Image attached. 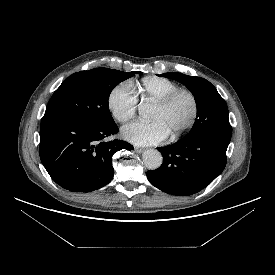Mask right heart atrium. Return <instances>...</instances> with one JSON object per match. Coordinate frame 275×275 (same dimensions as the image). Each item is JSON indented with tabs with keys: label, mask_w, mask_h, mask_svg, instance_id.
I'll use <instances>...</instances> for the list:
<instances>
[{
	"label": "right heart atrium",
	"mask_w": 275,
	"mask_h": 275,
	"mask_svg": "<svg viewBox=\"0 0 275 275\" xmlns=\"http://www.w3.org/2000/svg\"><path fill=\"white\" fill-rule=\"evenodd\" d=\"M108 108L113 118L125 123L132 119L138 108V97L132 81L117 84L108 96Z\"/></svg>",
	"instance_id": "1"
}]
</instances>
